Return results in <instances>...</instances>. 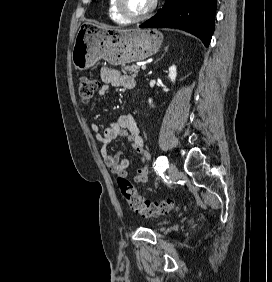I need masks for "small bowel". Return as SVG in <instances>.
Instances as JSON below:
<instances>
[{"mask_svg":"<svg viewBox=\"0 0 272 282\" xmlns=\"http://www.w3.org/2000/svg\"><path fill=\"white\" fill-rule=\"evenodd\" d=\"M101 78L105 84L99 89V95L103 96L108 92L109 84L121 87L125 90L135 88V80L132 77L122 75L118 70L103 68ZM92 132L95 139L102 144L101 155L106 166L115 174L127 176L129 160L123 158L119 153L111 154L108 150L109 144L118 137H125L134 150L140 155L142 167L137 170L133 177L135 183H146L148 180L149 165L147 163L149 154L144 146V139L140 133L136 120L131 115H121L103 132L100 131L98 124L92 125Z\"/></svg>","mask_w":272,"mask_h":282,"instance_id":"obj_1","label":"small bowel"}]
</instances>
